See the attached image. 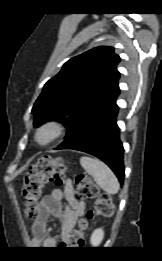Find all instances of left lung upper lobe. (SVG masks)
Listing matches in <instances>:
<instances>
[{"instance_id":"1","label":"left lung upper lobe","mask_w":162,"mask_h":261,"mask_svg":"<svg viewBox=\"0 0 162 261\" xmlns=\"http://www.w3.org/2000/svg\"><path fill=\"white\" fill-rule=\"evenodd\" d=\"M120 57L112 47H95L71 58L45 85L32 112L34 126L57 120L68 137L119 94ZM65 137V138H66Z\"/></svg>"}]
</instances>
